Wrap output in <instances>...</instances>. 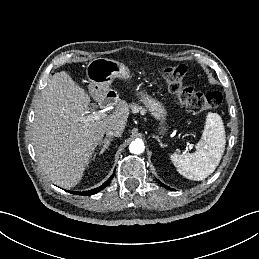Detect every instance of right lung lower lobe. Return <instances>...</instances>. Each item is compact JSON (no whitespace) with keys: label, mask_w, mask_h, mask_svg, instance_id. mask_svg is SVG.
I'll return each mask as SVG.
<instances>
[{"label":"right lung lower lobe","mask_w":259,"mask_h":259,"mask_svg":"<svg viewBox=\"0 0 259 259\" xmlns=\"http://www.w3.org/2000/svg\"><path fill=\"white\" fill-rule=\"evenodd\" d=\"M113 176H114V173L103 185H101L98 188H95V189H92V190H88V191H83V192H72V191H70V193L77 194V195H84V196L93 195V194L101 191L102 189H104L106 186H108L110 184Z\"/></svg>","instance_id":"98d812e1"}]
</instances>
